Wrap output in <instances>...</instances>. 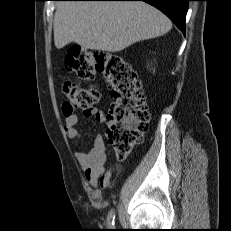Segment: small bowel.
<instances>
[{"mask_svg": "<svg viewBox=\"0 0 231 231\" xmlns=\"http://www.w3.org/2000/svg\"><path fill=\"white\" fill-rule=\"evenodd\" d=\"M84 116H93L99 122L105 121V114L101 110L84 111ZM78 116L71 112L65 113L64 129L66 134L73 140L79 141L81 134L77 129ZM76 159L84 171L87 182L95 189H99V184L103 188H107L112 180V169L106 168L107 148L104 137L97 135L94 139L93 147L83 149L76 153Z\"/></svg>", "mask_w": 231, "mask_h": 231, "instance_id": "small-bowel-1", "label": "small bowel"}]
</instances>
